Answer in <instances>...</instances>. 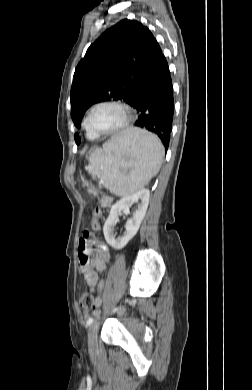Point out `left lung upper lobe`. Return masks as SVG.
Returning <instances> with one entry per match:
<instances>
[{"label":"left lung upper lobe","instance_id":"1","mask_svg":"<svg viewBox=\"0 0 252 390\" xmlns=\"http://www.w3.org/2000/svg\"><path fill=\"white\" fill-rule=\"evenodd\" d=\"M162 50L141 23L124 19L107 29L88 48L75 69L71 87V117L79 126L93 104L124 100L130 104L144 75ZM75 141L80 138L75 134Z\"/></svg>","mask_w":252,"mask_h":390}]
</instances>
